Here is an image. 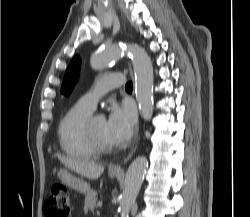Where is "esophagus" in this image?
Masks as SVG:
<instances>
[{"mask_svg":"<svg viewBox=\"0 0 250 217\" xmlns=\"http://www.w3.org/2000/svg\"><path fill=\"white\" fill-rule=\"evenodd\" d=\"M129 71H130L131 77L133 79V72H132V69H131L130 65H129ZM135 150H136V146L129 153V155L127 156V158L124 160V162L122 164L127 163L131 159V157H132L133 153L135 152ZM122 164L113 165V166L110 167V170L113 171V172H122L123 171Z\"/></svg>","mask_w":250,"mask_h":217,"instance_id":"obj_1","label":"esophagus"}]
</instances>
